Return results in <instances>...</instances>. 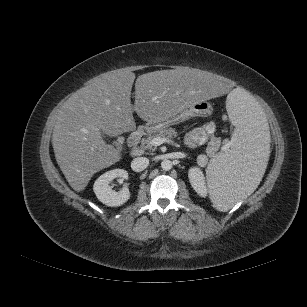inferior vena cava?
<instances>
[{
	"mask_svg": "<svg viewBox=\"0 0 307 307\" xmlns=\"http://www.w3.org/2000/svg\"><path fill=\"white\" fill-rule=\"evenodd\" d=\"M149 165V159L146 157H137L131 162V168L135 172H141Z\"/></svg>",
	"mask_w": 307,
	"mask_h": 307,
	"instance_id": "1",
	"label": "inferior vena cava"
}]
</instances>
